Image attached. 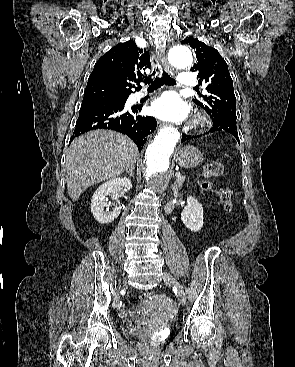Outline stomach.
Segmentation results:
<instances>
[{"label":"stomach","mask_w":295,"mask_h":367,"mask_svg":"<svg viewBox=\"0 0 295 367\" xmlns=\"http://www.w3.org/2000/svg\"><path fill=\"white\" fill-rule=\"evenodd\" d=\"M175 160L183 168H194L202 163L203 154L198 148L188 145L176 152Z\"/></svg>","instance_id":"stomach-1"}]
</instances>
